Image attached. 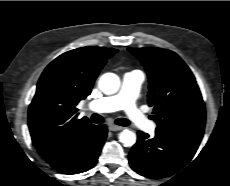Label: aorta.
<instances>
[{
	"instance_id": "762f6f07",
	"label": "aorta",
	"mask_w": 230,
	"mask_h": 186,
	"mask_svg": "<svg viewBox=\"0 0 230 186\" xmlns=\"http://www.w3.org/2000/svg\"><path fill=\"white\" fill-rule=\"evenodd\" d=\"M99 88L106 95L115 94L120 87V79L114 73H105L99 79ZM119 141L125 147H131L136 143V134L128 129L119 134Z\"/></svg>"
}]
</instances>
